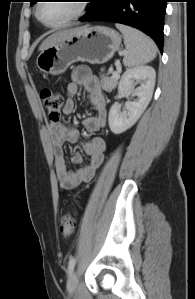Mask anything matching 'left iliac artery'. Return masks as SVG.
Wrapping results in <instances>:
<instances>
[{
	"mask_svg": "<svg viewBox=\"0 0 195 299\" xmlns=\"http://www.w3.org/2000/svg\"><path fill=\"white\" fill-rule=\"evenodd\" d=\"M75 263H76V258L75 257L71 258L69 261V265H68V273L69 274L73 271V269L75 267Z\"/></svg>",
	"mask_w": 195,
	"mask_h": 299,
	"instance_id": "left-iliac-artery-1",
	"label": "left iliac artery"
}]
</instances>
